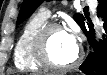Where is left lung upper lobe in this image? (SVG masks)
I'll return each instance as SVG.
<instances>
[{"instance_id": "1", "label": "left lung upper lobe", "mask_w": 107, "mask_h": 75, "mask_svg": "<svg viewBox=\"0 0 107 75\" xmlns=\"http://www.w3.org/2000/svg\"><path fill=\"white\" fill-rule=\"evenodd\" d=\"M42 2L43 0H24L20 9L17 23H21L28 18ZM74 19L80 27L84 25V17L81 14H75Z\"/></svg>"}]
</instances>
